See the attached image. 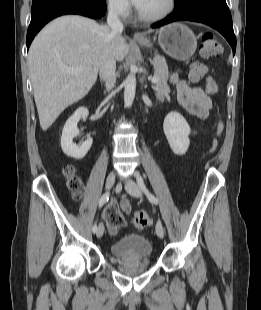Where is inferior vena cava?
I'll return each mask as SVG.
<instances>
[{
  "label": "inferior vena cava",
  "instance_id": "obj_1",
  "mask_svg": "<svg viewBox=\"0 0 261 310\" xmlns=\"http://www.w3.org/2000/svg\"><path fill=\"white\" fill-rule=\"evenodd\" d=\"M107 24L114 34H120L123 31V24L119 19L116 8L111 7L107 16ZM116 61L114 58H107L100 67V79L105 82L107 91L114 87L116 82L115 77Z\"/></svg>",
  "mask_w": 261,
  "mask_h": 310
}]
</instances>
